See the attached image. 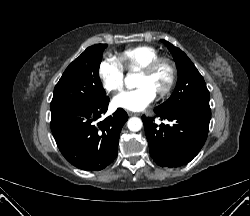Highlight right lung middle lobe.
<instances>
[{
    "label": "right lung middle lobe",
    "mask_w": 250,
    "mask_h": 216,
    "mask_svg": "<svg viewBox=\"0 0 250 216\" xmlns=\"http://www.w3.org/2000/svg\"><path fill=\"white\" fill-rule=\"evenodd\" d=\"M106 44L87 48L65 70L54 88L51 116L90 106L107 97L99 78V66Z\"/></svg>",
    "instance_id": "1"
}]
</instances>
